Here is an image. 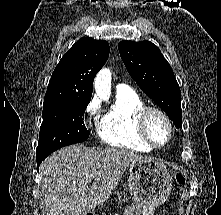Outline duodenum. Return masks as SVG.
Segmentation results:
<instances>
[{
  "label": "duodenum",
  "instance_id": "obj_1",
  "mask_svg": "<svg viewBox=\"0 0 221 215\" xmlns=\"http://www.w3.org/2000/svg\"><path fill=\"white\" fill-rule=\"evenodd\" d=\"M84 215H95L93 211H88Z\"/></svg>",
  "mask_w": 221,
  "mask_h": 215
}]
</instances>
